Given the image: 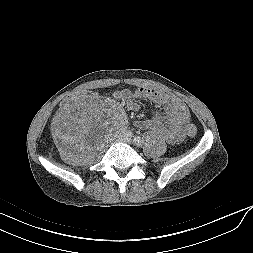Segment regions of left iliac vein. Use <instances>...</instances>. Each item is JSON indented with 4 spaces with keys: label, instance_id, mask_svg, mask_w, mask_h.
I'll return each instance as SVG.
<instances>
[{
    "label": "left iliac vein",
    "instance_id": "1",
    "mask_svg": "<svg viewBox=\"0 0 253 253\" xmlns=\"http://www.w3.org/2000/svg\"><path fill=\"white\" fill-rule=\"evenodd\" d=\"M126 142L131 143L132 142L131 138H126Z\"/></svg>",
    "mask_w": 253,
    "mask_h": 253
}]
</instances>
